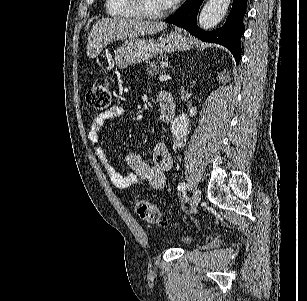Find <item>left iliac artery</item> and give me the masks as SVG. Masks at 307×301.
<instances>
[{"instance_id":"left-iliac-artery-1","label":"left iliac artery","mask_w":307,"mask_h":301,"mask_svg":"<svg viewBox=\"0 0 307 301\" xmlns=\"http://www.w3.org/2000/svg\"><path fill=\"white\" fill-rule=\"evenodd\" d=\"M186 187H187L186 183L185 182H181V183L178 184L177 188H178V190L183 191V190L186 189Z\"/></svg>"}]
</instances>
